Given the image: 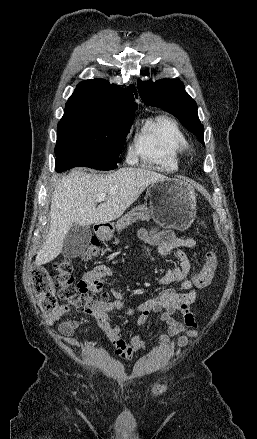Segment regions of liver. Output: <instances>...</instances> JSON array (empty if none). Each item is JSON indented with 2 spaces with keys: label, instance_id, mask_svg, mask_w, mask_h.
Here are the masks:
<instances>
[{
  "label": "liver",
  "instance_id": "obj_1",
  "mask_svg": "<svg viewBox=\"0 0 257 439\" xmlns=\"http://www.w3.org/2000/svg\"><path fill=\"white\" fill-rule=\"evenodd\" d=\"M164 175L142 168L126 167L115 173H87L75 168L57 181L51 199L50 228L36 265L54 260L63 249L64 238L73 225L88 226L119 218L152 183ZM99 194L105 202L96 207Z\"/></svg>",
  "mask_w": 257,
  "mask_h": 439
}]
</instances>
